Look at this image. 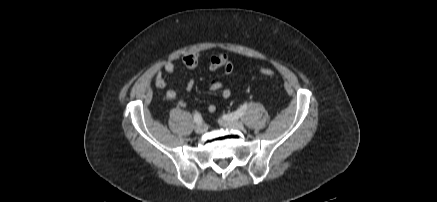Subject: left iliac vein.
<instances>
[{
    "mask_svg": "<svg viewBox=\"0 0 437 202\" xmlns=\"http://www.w3.org/2000/svg\"><path fill=\"white\" fill-rule=\"evenodd\" d=\"M219 123L223 127H226V128H229V129H235V130H242V129H244L243 123L241 121H237V120L229 121V120L222 119V120L219 121Z\"/></svg>",
    "mask_w": 437,
    "mask_h": 202,
    "instance_id": "obj_1",
    "label": "left iliac vein"
}]
</instances>
